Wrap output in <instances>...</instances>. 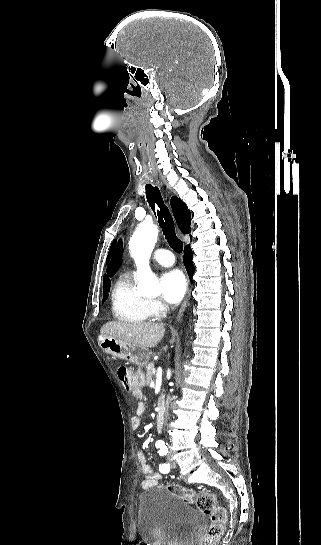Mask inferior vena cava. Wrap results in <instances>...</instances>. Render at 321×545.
Segmentation results:
<instances>
[{"label":"inferior vena cava","instance_id":"602c4592","mask_svg":"<svg viewBox=\"0 0 321 545\" xmlns=\"http://www.w3.org/2000/svg\"><path fill=\"white\" fill-rule=\"evenodd\" d=\"M170 401H171V397H170V395H168L167 401H166V413H165L164 425H166V423H167V417H168L167 409H168V407H169Z\"/></svg>","mask_w":321,"mask_h":545}]
</instances>
